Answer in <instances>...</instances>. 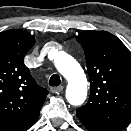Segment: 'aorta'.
<instances>
[{"mask_svg": "<svg viewBox=\"0 0 131 131\" xmlns=\"http://www.w3.org/2000/svg\"><path fill=\"white\" fill-rule=\"evenodd\" d=\"M57 70L67 79L66 98L72 105H81L87 96V79L75 59L58 52L54 60Z\"/></svg>", "mask_w": 131, "mask_h": 131, "instance_id": "762f6f07", "label": "aorta"}]
</instances>
